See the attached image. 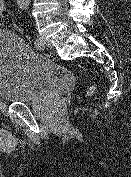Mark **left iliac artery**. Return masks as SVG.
<instances>
[{
  "label": "left iliac artery",
  "instance_id": "44dca946",
  "mask_svg": "<svg viewBox=\"0 0 131 177\" xmlns=\"http://www.w3.org/2000/svg\"><path fill=\"white\" fill-rule=\"evenodd\" d=\"M33 43L36 48L40 47V42L38 41V39H34Z\"/></svg>",
  "mask_w": 131,
  "mask_h": 177
}]
</instances>
